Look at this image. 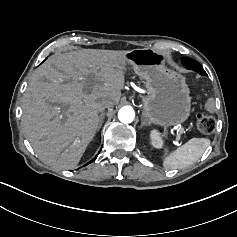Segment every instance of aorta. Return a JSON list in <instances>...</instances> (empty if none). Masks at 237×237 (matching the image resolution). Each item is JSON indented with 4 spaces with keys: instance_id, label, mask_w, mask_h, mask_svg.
I'll return each instance as SVG.
<instances>
[{
    "instance_id": "1",
    "label": "aorta",
    "mask_w": 237,
    "mask_h": 237,
    "mask_svg": "<svg viewBox=\"0 0 237 237\" xmlns=\"http://www.w3.org/2000/svg\"><path fill=\"white\" fill-rule=\"evenodd\" d=\"M135 113L129 106L122 107L118 112V118L120 122L124 124L131 123L134 120Z\"/></svg>"
}]
</instances>
